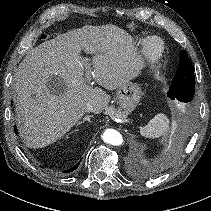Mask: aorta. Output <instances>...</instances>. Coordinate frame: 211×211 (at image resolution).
<instances>
[{
    "instance_id": "762f6f07",
    "label": "aorta",
    "mask_w": 211,
    "mask_h": 211,
    "mask_svg": "<svg viewBox=\"0 0 211 211\" xmlns=\"http://www.w3.org/2000/svg\"><path fill=\"white\" fill-rule=\"evenodd\" d=\"M102 138L104 142L114 146H120L123 144L122 135L115 129H106L102 134Z\"/></svg>"
}]
</instances>
